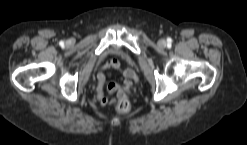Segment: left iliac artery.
<instances>
[{
    "mask_svg": "<svg viewBox=\"0 0 247 145\" xmlns=\"http://www.w3.org/2000/svg\"><path fill=\"white\" fill-rule=\"evenodd\" d=\"M172 40L171 39H168V44H171Z\"/></svg>",
    "mask_w": 247,
    "mask_h": 145,
    "instance_id": "44dca946",
    "label": "left iliac artery"
}]
</instances>
